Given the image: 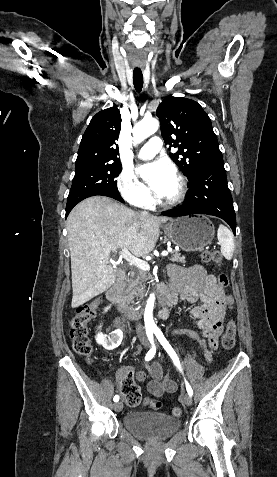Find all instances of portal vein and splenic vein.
Instances as JSON below:
<instances>
[{
	"label": "portal vein and splenic vein",
	"instance_id": "portal-vein-and-splenic-vein-1",
	"mask_svg": "<svg viewBox=\"0 0 277 477\" xmlns=\"http://www.w3.org/2000/svg\"><path fill=\"white\" fill-rule=\"evenodd\" d=\"M168 254H169V252L167 250H164V251H162L161 256H163V257L168 256ZM119 255H120V257H122L126 261H128L130 264L135 265L136 267H138L141 270L147 271V270L150 269V266L146 261H144V260L134 256L133 254H131L126 247H123L121 249V251L119 252Z\"/></svg>",
	"mask_w": 277,
	"mask_h": 477
}]
</instances>
